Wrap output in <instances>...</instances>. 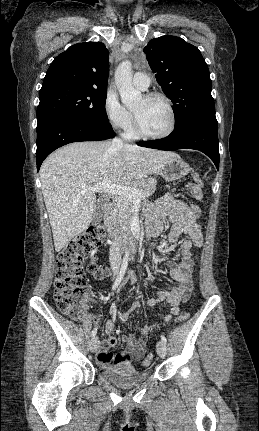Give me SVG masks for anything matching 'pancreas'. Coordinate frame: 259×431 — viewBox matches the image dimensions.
<instances>
[{
    "mask_svg": "<svg viewBox=\"0 0 259 431\" xmlns=\"http://www.w3.org/2000/svg\"><path fill=\"white\" fill-rule=\"evenodd\" d=\"M156 184V179L147 178L133 182L130 187L141 191L143 196L140 199L146 200L155 192ZM133 213V200L128 197L119 198L111 214L112 222L118 231L128 232Z\"/></svg>",
    "mask_w": 259,
    "mask_h": 431,
    "instance_id": "obj_1",
    "label": "pancreas"
}]
</instances>
